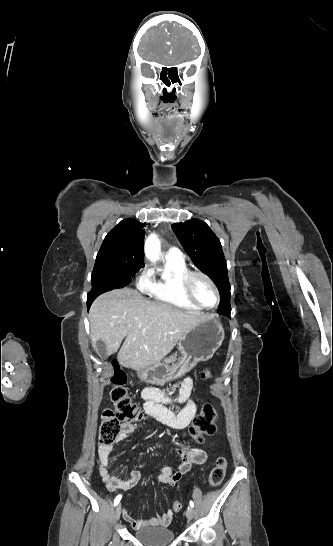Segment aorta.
<instances>
[{
  "instance_id": "1",
  "label": "aorta",
  "mask_w": 333,
  "mask_h": 546,
  "mask_svg": "<svg viewBox=\"0 0 333 546\" xmlns=\"http://www.w3.org/2000/svg\"><path fill=\"white\" fill-rule=\"evenodd\" d=\"M161 250V245L158 237L155 234H151L145 242V255L146 257L155 262L159 259V254Z\"/></svg>"
}]
</instances>
